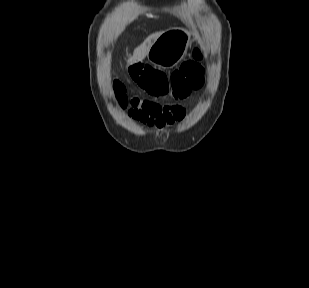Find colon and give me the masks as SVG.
<instances>
[{
    "label": "colon",
    "mask_w": 309,
    "mask_h": 288,
    "mask_svg": "<svg viewBox=\"0 0 309 288\" xmlns=\"http://www.w3.org/2000/svg\"><path fill=\"white\" fill-rule=\"evenodd\" d=\"M202 53L198 48L193 50V60L183 63L170 76L153 67H142L132 64L129 73L132 80L142 86L155 97L183 99L192 90H199L205 82L204 70L200 64ZM113 89L125 103L124 85L119 80L113 81ZM146 101V100H144Z\"/></svg>",
    "instance_id": "colon-1"
}]
</instances>
